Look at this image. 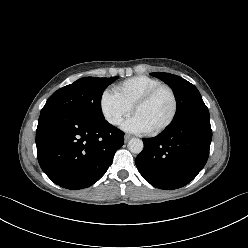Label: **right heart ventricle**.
<instances>
[{
    "label": "right heart ventricle",
    "mask_w": 248,
    "mask_h": 248,
    "mask_svg": "<svg viewBox=\"0 0 248 248\" xmlns=\"http://www.w3.org/2000/svg\"><path fill=\"white\" fill-rule=\"evenodd\" d=\"M161 82L144 75L128 78L114 86L113 91L131 108L134 103Z\"/></svg>",
    "instance_id": "obj_1"
}]
</instances>
